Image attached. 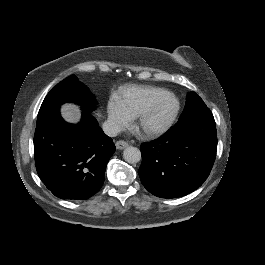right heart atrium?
Wrapping results in <instances>:
<instances>
[{"label": "right heart atrium", "instance_id": "1", "mask_svg": "<svg viewBox=\"0 0 265 265\" xmlns=\"http://www.w3.org/2000/svg\"><path fill=\"white\" fill-rule=\"evenodd\" d=\"M107 127L112 132L121 131L132 123V118L123 114L114 104L107 110Z\"/></svg>", "mask_w": 265, "mask_h": 265}]
</instances>
